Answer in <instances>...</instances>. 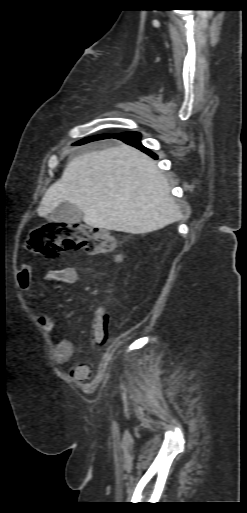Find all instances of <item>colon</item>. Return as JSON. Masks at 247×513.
<instances>
[{"label": "colon", "instance_id": "5ec220e1", "mask_svg": "<svg viewBox=\"0 0 247 513\" xmlns=\"http://www.w3.org/2000/svg\"><path fill=\"white\" fill-rule=\"evenodd\" d=\"M116 242L108 232L79 223L47 222L35 229L27 247L35 252L58 255L68 249H79L89 254H106L115 249ZM91 341L102 346L108 339L110 315L108 306L99 302L95 306Z\"/></svg>", "mask_w": 247, "mask_h": 513}]
</instances>
